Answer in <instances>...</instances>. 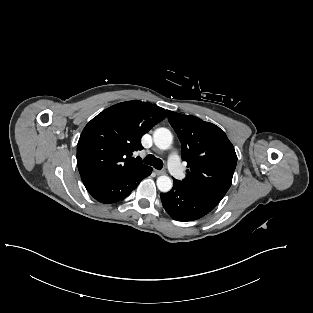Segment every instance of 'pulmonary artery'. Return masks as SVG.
<instances>
[{"mask_svg":"<svg viewBox=\"0 0 313 313\" xmlns=\"http://www.w3.org/2000/svg\"><path fill=\"white\" fill-rule=\"evenodd\" d=\"M168 167L175 178L180 180L184 178V172L180 164V157L176 152H173L169 155Z\"/></svg>","mask_w":313,"mask_h":313,"instance_id":"pulmonary-artery-1","label":"pulmonary artery"}]
</instances>
